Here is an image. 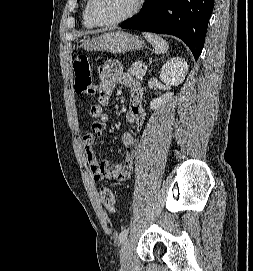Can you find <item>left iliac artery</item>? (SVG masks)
I'll use <instances>...</instances> for the list:
<instances>
[{
  "instance_id": "left-iliac-artery-1",
  "label": "left iliac artery",
  "mask_w": 253,
  "mask_h": 271,
  "mask_svg": "<svg viewBox=\"0 0 253 271\" xmlns=\"http://www.w3.org/2000/svg\"><path fill=\"white\" fill-rule=\"evenodd\" d=\"M128 232H129V229H124L120 233L119 240H120L121 243H123L125 241V239L127 238Z\"/></svg>"
}]
</instances>
